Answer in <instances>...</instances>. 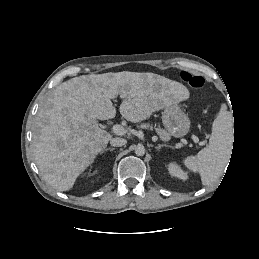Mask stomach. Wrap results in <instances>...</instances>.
I'll return each mask as SVG.
<instances>
[{"label":"stomach","instance_id":"1","mask_svg":"<svg viewBox=\"0 0 259 259\" xmlns=\"http://www.w3.org/2000/svg\"><path fill=\"white\" fill-rule=\"evenodd\" d=\"M162 122L168 134L174 137H183L190 130V120L177 104L164 109Z\"/></svg>","mask_w":259,"mask_h":259}]
</instances>
